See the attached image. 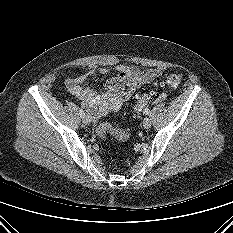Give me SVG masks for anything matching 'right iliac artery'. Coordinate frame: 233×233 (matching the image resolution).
Wrapping results in <instances>:
<instances>
[{"instance_id":"obj_1","label":"right iliac artery","mask_w":233,"mask_h":233,"mask_svg":"<svg viewBox=\"0 0 233 233\" xmlns=\"http://www.w3.org/2000/svg\"><path fill=\"white\" fill-rule=\"evenodd\" d=\"M79 115L81 118L85 117V113H84L83 109L79 110Z\"/></svg>"}]
</instances>
